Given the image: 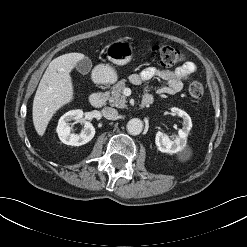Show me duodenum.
I'll list each match as a JSON object with an SVG mask.
<instances>
[{"label": "duodenum", "instance_id": "duodenum-1", "mask_svg": "<svg viewBox=\"0 0 247 247\" xmlns=\"http://www.w3.org/2000/svg\"><path fill=\"white\" fill-rule=\"evenodd\" d=\"M107 95L105 92H96L90 95L89 103L94 107H101L105 104ZM153 103V98L145 96L141 101V107H148Z\"/></svg>", "mask_w": 247, "mask_h": 247}]
</instances>
